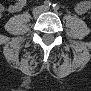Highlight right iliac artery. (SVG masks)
Masks as SVG:
<instances>
[{"label":"right iliac artery","instance_id":"right-iliac-artery-1","mask_svg":"<svg viewBox=\"0 0 91 91\" xmlns=\"http://www.w3.org/2000/svg\"><path fill=\"white\" fill-rule=\"evenodd\" d=\"M51 5H52V3L49 0L42 2V6H44V7H50Z\"/></svg>","mask_w":91,"mask_h":91}]
</instances>
